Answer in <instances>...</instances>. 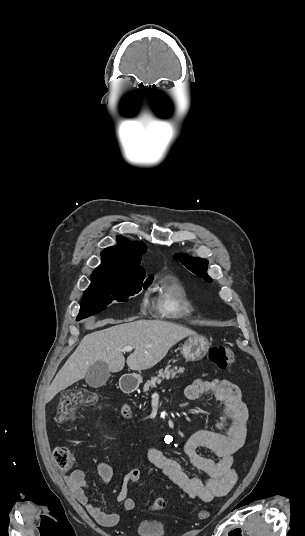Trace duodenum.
<instances>
[{"label": "duodenum", "mask_w": 305, "mask_h": 536, "mask_svg": "<svg viewBox=\"0 0 305 536\" xmlns=\"http://www.w3.org/2000/svg\"><path fill=\"white\" fill-rule=\"evenodd\" d=\"M139 384L140 380L137 377L125 375L121 378L120 388L125 393H132L138 388ZM123 415L126 418L131 417V409L128 405L123 407Z\"/></svg>", "instance_id": "duodenum-1"}]
</instances>
